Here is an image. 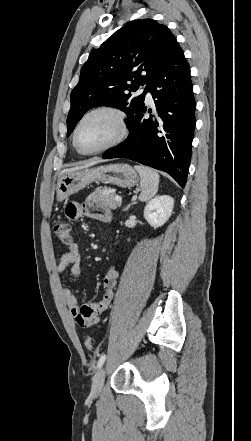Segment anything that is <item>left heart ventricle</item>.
I'll use <instances>...</instances> for the list:
<instances>
[{
  "label": "left heart ventricle",
  "mask_w": 251,
  "mask_h": 441,
  "mask_svg": "<svg viewBox=\"0 0 251 441\" xmlns=\"http://www.w3.org/2000/svg\"><path fill=\"white\" fill-rule=\"evenodd\" d=\"M119 132L115 117L101 112L89 116L78 133V143L83 150L97 149L111 141Z\"/></svg>",
  "instance_id": "left-heart-ventricle-1"
}]
</instances>
